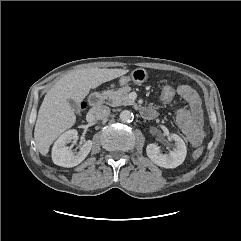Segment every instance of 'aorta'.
Instances as JSON below:
<instances>
[{"label": "aorta", "instance_id": "aorta-1", "mask_svg": "<svg viewBox=\"0 0 241 241\" xmlns=\"http://www.w3.org/2000/svg\"><path fill=\"white\" fill-rule=\"evenodd\" d=\"M120 120L124 123H129V122H132L133 119H134V115L131 111L129 110H123L121 113H120V116H119Z\"/></svg>", "mask_w": 241, "mask_h": 241}]
</instances>
